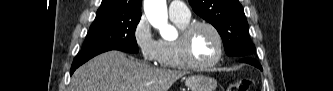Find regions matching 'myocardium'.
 I'll use <instances>...</instances> for the list:
<instances>
[{"label": "myocardium", "instance_id": "1", "mask_svg": "<svg viewBox=\"0 0 333 91\" xmlns=\"http://www.w3.org/2000/svg\"><path fill=\"white\" fill-rule=\"evenodd\" d=\"M205 27L209 29L216 37L218 42V53L217 56L206 63L197 62L192 54V38L195 31L200 28ZM179 46H180V54L182 61L186 66L192 69H208L215 65H217L224 55V39L219 31V29L212 23L207 21H193L190 22L181 32L180 37L178 38Z\"/></svg>", "mask_w": 333, "mask_h": 91}]
</instances>
